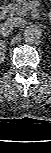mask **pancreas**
I'll return each instance as SVG.
<instances>
[{
    "mask_svg": "<svg viewBox=\"0 0 51 153\" xmlns=\"http://www.w3.org/2000/svg\"><path fill=\"white\" fill-rule=\"evenodd\" d=\"M30 10L28 2L26 0H17L16 3L8 5V11L10 16H21L27 15Z\"/></svg>",
    "mask_w": 51,
    "mask_h": 153,
    "instance_id": "pancreas-1",
    "label": "pancreas"
}]
</instances>
